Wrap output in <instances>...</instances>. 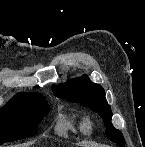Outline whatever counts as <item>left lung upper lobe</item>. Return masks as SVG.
Listing matches in <instances>:
<instances>
[{"label":"left lung upper lobe","instance_id":"5c2ea615","mask_svg":"<svg viewBox=\"0 0 145 147\" xmlns=\"http://www.w3.org/2000/svg\"><path fill=\"white\" fill-rule=\"evenodd\" d=\"M52 91L57 97L81 103V105L97 112L104 119L107 138L121 147L125 145L122 132L111 123V108L105 99L104 89L100 85L92 83L87 76H82L58 86L53 85Z\"/></svg>","mask_w":145,"mask_h":147}]
</instances>
